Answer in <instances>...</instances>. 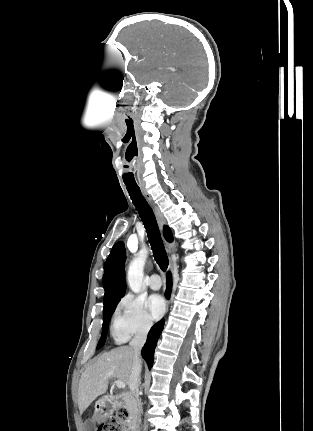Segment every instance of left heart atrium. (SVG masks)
I'll return each mask as SVG.
<instances>
[{
  "instance_id": "1",
  "label": "left heart atrium",
  "mask_w": 313,
  "mask_h": 431,
  "mask_svg": "<svg viewBox=\"0 0 313 431\" xmlns=\"http://www.w3.org/2000/svg\"><path fill=\"white\" fill-rule=\"evenodd\" d=\"M149 311L154 319H159L165 312V301L160 295H152L148 301Z\"/></svg>"
}]
</instances>
